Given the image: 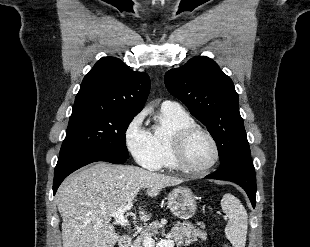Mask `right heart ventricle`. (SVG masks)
<instances>
[{"label": "right heart ventricle", "mask_w": 310, "mask_h": 247, "mask_svg": "<svg viewBox=\"0 0 310 247\" xmlns=\"http://www.w3.org/2000/svg\"><path fill=\"white\" fill-rule=\"evenodd\" d=\"M196 124L183 109L161 108V120L152 127L151 141L157 166L151 169H177L173 155V141L177 130Z\"/></svg>", "instance_id": "1"}]
</instances>
